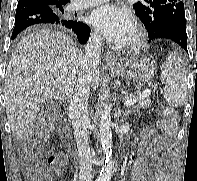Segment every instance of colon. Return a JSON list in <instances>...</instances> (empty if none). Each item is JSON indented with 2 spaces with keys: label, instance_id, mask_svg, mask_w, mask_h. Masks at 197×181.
<instances>
[{
  "label": "colon",
  "instance_id": "colon-1",
  "mask_svg": "<svg viewBox=\"0 0 197 181\" xmlns=\"http://www.w3.org/2000/svg\"><path fill=\"white\" fill-rule=\"evenodd\" d=\"M163 129L167 133H174L177 129L179 114L173 108H165L163 110ZM64 163L63 157L52 155L49 158V164L58 168ZM23 172L29 181H51L50 173L45 168L42 156L35 150H29L23 161Z\"/></svg>",
  "mask_w": 197,
  "mask_h": 181
}]
</instances>
